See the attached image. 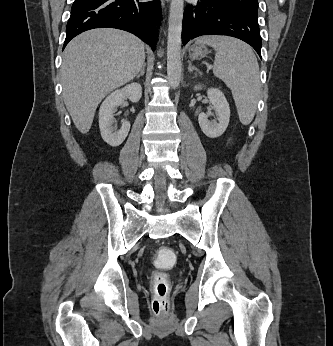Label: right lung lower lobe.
<instances>
[{
    "label": "right lung lower lobe",
    "instance_id": "obj_1",
    "mask_svg": "<svg viewBox=\"0 0 333 346\" xmlns=\"http://www.w3.org/2000/svg\"><path fill=\"white\" fill-rule=\"evenodd\" d=\"M161 19L158 0H75L66 27L63 48L76 35L94 28L128 31L150 45L157 42V23Z\"/></svg>",
    "mask_w": 333,
    "mask_h": 346
}]
</instances>
